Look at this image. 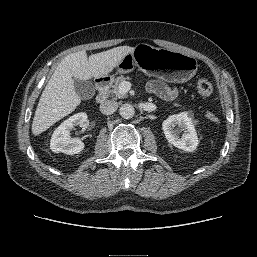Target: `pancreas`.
<instances>
[{
	"label": "pancreas",
	"mask_w": 257,
	"mask_h": 257,
	"mask_svg": "<svg viewBox=\"0 0 257 257\" xmlns=\"http://www.w3.org/2000/svg\"><path fill=\"white\" fill-rule=\"evenodd\" d=\"M129 77L119 76L115 80V84L112 86V90L110 91L112 97L124 98L126 97V93H121L119 90V86L122 82L129 80Z\"/></svg>",
	"instance_id": "pancreas-1"
}]
</instances>
